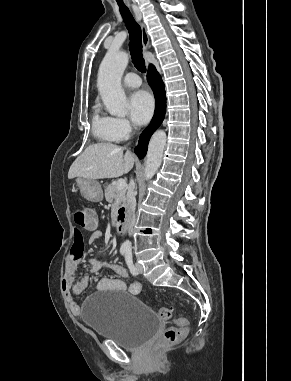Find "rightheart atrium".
<instances>
[{"label":"right heart atrium","instance_id":"d8ad5b80","mask_svg":"<svg viewBox=\"0 0 291 381\" xmlns=\"http://www.w3.org/2000/svg\"><path fill=\"white\" fill-rule=\"evenodd\" d=\"M110 124L114 133L119 139H125L132 131L131 123L126 118L109 117Z\"/></svg>","mask_w":291,"mask_h":381}]
</instances>
